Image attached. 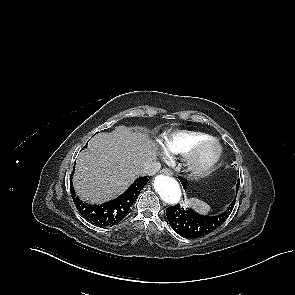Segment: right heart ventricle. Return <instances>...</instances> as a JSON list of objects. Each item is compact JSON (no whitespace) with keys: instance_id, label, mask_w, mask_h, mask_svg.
Segmentation results:
<instances>
[{"instance_id":"1","label":"right heart ventricle","mask_w":295,"mask_h":295,"mask_svg":"<svg viewBox=\"0 0 295 295\" xmlns=\"http://www.w3.org/2000/svg\"><path fill=\"white\" fill-rule=\"evenodd\" d=\"M206 138L209 136L202 132L177 131L164 136L160 143L169 155H185L193 145Z\"/></svg>"}]
</instances>
